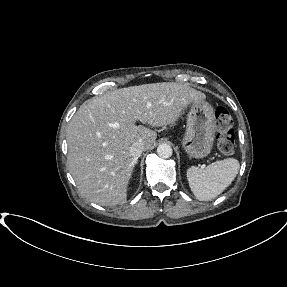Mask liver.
<instances>
[{"label":"liver","mask_w":287,"mask_h":287,"mask_svg":"<svg viewBox=\"0 0 287 287\" xmlns=\"http://www.w3.org/2000/svg\"><path fill=\"white\" fill-rule=\"evenodd\" d=\"M205 95L187 83L161 82L131 86L94 97L81 105L67 126V162L80 194L101 206L123 204L135 159L130 147L149 150L157 133L152 127L175 123Z\"/></svg>","instance_id":"obj_1"}]
</instances>
